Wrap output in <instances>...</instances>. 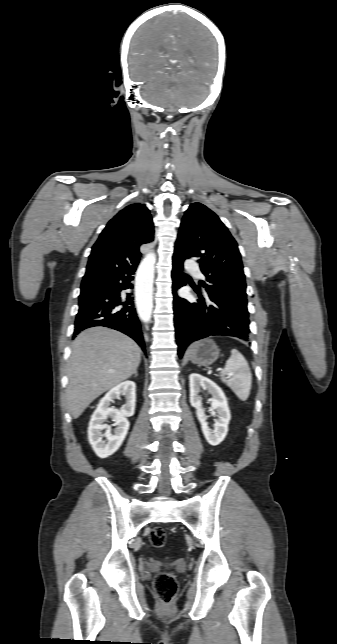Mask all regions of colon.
I'll return each mask as SVG.
<instances>
[{"label": "colon", "mask_w": 337, "mask_h": 644, "mask_svg": "<svg viewBox=\"0 0 337 644\" xmlns=\"http://www.w3.org/2000/svg\"><path fill=\"white\" fill-rule=\"evenodd\" d=\"M166 540L165 530L161 527H155L149 534V541L154 547H162ZM154 587L160 601L168 605L175 596L178 583L174 575L168 572H160L155 576Z\"/></svg>", "instance_id": "5ec220e1"}]
</instances>
